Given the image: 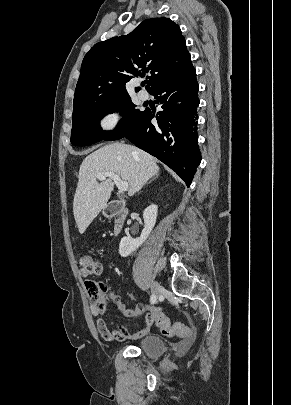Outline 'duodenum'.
Instances as JSON below:
<instances>
[{"mask_svg":"<svg viewBox=\"0 0 291 405\" xmlns=\"http://www.w3.org/2000/svg\"><path fill=\"white\" fill-rule=\"evenodd\" d=\"M106 213L114 219V234H119L123 229L128 214L127 208L122 202L114 201L108 205Z\"/></svg>","mask_w":291,"mask_h":405,"instance_id":"1","label":"duodenum"}]
</instances>
